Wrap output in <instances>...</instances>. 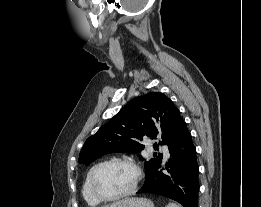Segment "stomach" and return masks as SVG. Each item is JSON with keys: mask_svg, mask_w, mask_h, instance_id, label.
<instances>
[{"mask_svg": "<svg viewBox=\"0 0 261 207\" xmlns=\"http://www.w3.org/2000/svg\"><path fill=\"white\" fill-rule=\"evenodd\" d=\"M104 207H154L151 200L147 198H125Z\"/></svg>", "mask_w": 261, "mask_h": 207, "instance_id": "obj_1", "label": "stomach"}]
</instances>
